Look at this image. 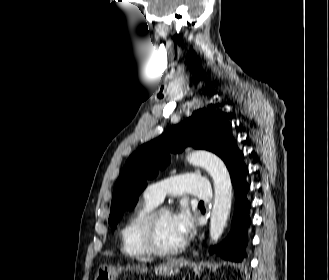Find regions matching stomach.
I'll return each instance as SVG.
<instances>
[{"label": "stomach", "instance_id": "0dacf381", "mask_svg": "<svg viewBox=\"0 0 329 280\" xmlns=\"http://www.w3.org/2000/svg\"><path fill=\"white\" fill-rule=\"evenodd\" d=\"M135 267L127 266L126 270H133ZM124 270V267L118 265H101L95 275L94 280H116L118 275ZM136 270L140 273L147 272V268L143 265L142 267H136ZM180 271L179 263L177 261H170L168 263L155 267V273L161 276H174Z\"/></svg>", "mask_w": 329, "mask_h": 280}]
</instances>
